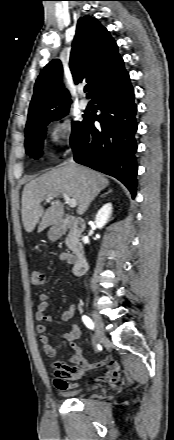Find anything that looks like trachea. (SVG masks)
<instances>
[{
	"instance_id": "trachea-1",
	"label": "trachea",
	"mask_w": 174,
	"mask_h": 440,
	"mask_svg": "<svg viewBox=\"0 0 174 440\" xmlns=\"http://www.w3.org/2000/svg\"><path fill=\"white\" fill-rule=\"evenodd\" d=\"M88 89H89V87H88V86H86V87L84 88V91H85V92H87V91H88Z\"/></svg>"
}]
</instances>
